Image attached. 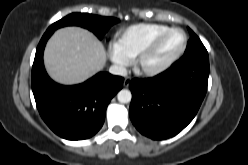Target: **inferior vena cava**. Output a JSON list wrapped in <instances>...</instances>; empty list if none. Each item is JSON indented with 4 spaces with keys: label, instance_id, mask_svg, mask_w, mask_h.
<instances>
[{
    "label": "inferior vena cava",
    "instance_id": "602c4592",
    "mask_svg": "<svg viewBox=\"0 0 248 165\" xmlns=\"http://www.w3.org/2000/svg\"><path fill=\"white\" fill-rule=\"evenodd\" d=\"M109 72L113 75H119V76H127V69L124 66L120 65H112L109 68Z\"/></svg>",
    "mask_w": 248,
    "mask_h": 165
}]
</instances>
